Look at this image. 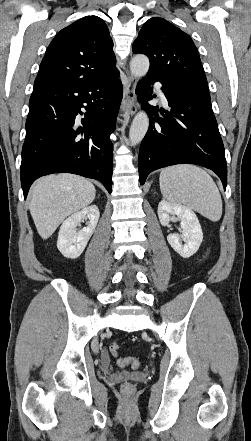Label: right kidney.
Segmentation results:
<instances>
[{"instance_id": "obj_1", "label": "right kidney", "mask_w": 251, "mask_h": 441, "mask_svg": "<svg viewBox=\"0 0 251 441\" xmlns=\"http://www.w3.org/2000/svg\"><path fill=\"white\" fill-rule=\"evenodd\" d=\"M99 217L98 207L91 205L74 213L63 222L58 234L57 248L64 257L76 259L82 254L95 231ZM84 219L89 220L87 226L77 232L75 227Z\"/></svg>"}]
</instances>
